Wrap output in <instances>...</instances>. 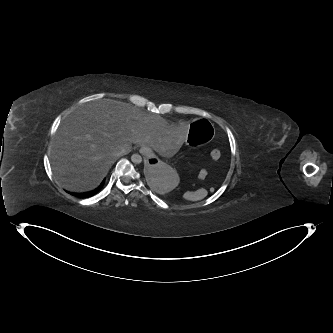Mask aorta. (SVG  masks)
I'll return each mask as SVG.
<instances>
[{"label":"aorta","instance_id":"1","mask_svg":"<svg viewBox=\"0 0 333 333\" xmlns=\"http://www.w3.org/2000/svg\"><path fill=\"white\" fill-rule=\"evenodd\" d=\"M131 161L134 163V164H140L142 163V157L141 155L135 153V154H132L131 155Z\"/></svg>","mask_w":333,"mask_h":333}]
</instances>
